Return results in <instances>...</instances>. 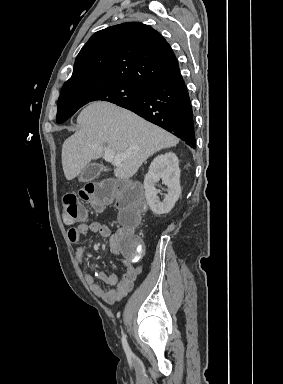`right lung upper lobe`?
<instances>
[{
    "label": "right lung upper lobe",
    "mask_w": 283,
    "mask_h": 384,
    "mask_svg": "<svg viewBox=\"0 0 283 384\" xmlns=\"http://www.w3.org/2000/svg\"><path fill=\"white\" fill-rule=\"evenodd\" d=\"M180 72L167 41L152 27L128 22L96 32L79 52L63 88L124 81L148 87Z\"/></svg>",
    "instance_id": "right-lung-upper-lobe-1"
}]
</instances>
